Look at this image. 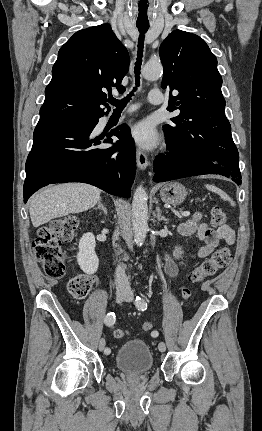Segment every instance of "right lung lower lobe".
<instances>
[{
	"instance_id": "1",
	"label": "right lung lower lobe",
	"mask_w": 262,
	"mask_h": 431,
	"mask_svg": "<svg viewBox=\"0 0 262 431\" xmlns=\"http://www.w3.org/2000/svg\"><path fill=\"white\" fill-rule=\"evenodd\" d=\"M99 119V118H98ZM98 119L89 117L40 119L26 161L24 202L41 187L53 183L82 182L109 194L129 198L136 171L130 130L121 125L106 137H94ZM120 140L109 148H97Z\"/></svg>"
}]
</instances>
